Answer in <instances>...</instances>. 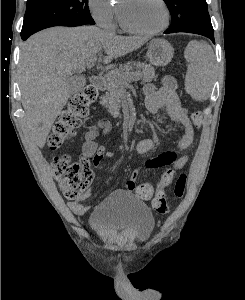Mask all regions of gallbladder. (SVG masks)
Instances as JSON below:
<instances>
[{"label": "gallbladder", "mask_w": 245, "mask_h": 300, "mask_svg": "<svg viewBox=\"0 0 245 300\" xmlns=\"http://www.w3.org/2000/svg\"><path fill=\"white\" fill-rule=\"evenodd\" d=\"M69 92L71 94L81 91L86 84V78L83 76H68L66 79Z\"/></svg>", "instance_id": "bac80fb5"}]
</instances>
